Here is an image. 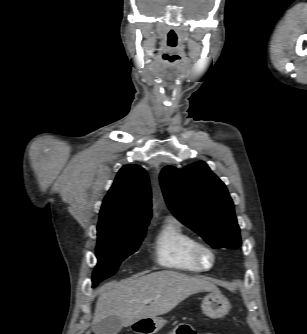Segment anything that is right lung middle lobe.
<instances>
[{
    "instance_id": "right-lung-middle-lobe-1",
    "label": "right lung middle lobe",
    "mask_w": 307,
    "mask_h": 334,
    "mask_svg": "<svg viewBox=\"0 0 307 334\" xmlns=\"http://www.w3.org/2000/svg\"><path fill=\"white\" fill-rule=\"evenodd\" d=\"M145 232L146 226L98 232V263L93 273V287L116 273L120 263L137 251Z\"/></svg>"
}]
</instances>
